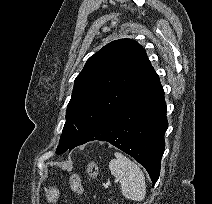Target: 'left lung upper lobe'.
<instances>
[{
	"label": "left lung upper lobe",
	"instance_id": "1",
	"mask_svg": "<svg viewBox=\"0 0 212 204\" xmlns=\"http://www.w3.org/2000/svg\"><path fill=\"white\" fill-rule=\"evenodd\" d=\"M155 73L136 41L120 39L90 57L75 79L56 153L72 150L77 138Z\"/></svg>",
	"mask_w": 212,
	"mask_h": 204
}]
</instances>
